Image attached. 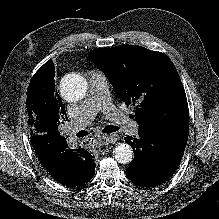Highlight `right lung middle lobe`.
I'll use <instances>...</instances> for the list:
<instances>
[{
  "label": "right lung middle lobe",
  "mask_w": 219,
  "mask_h": 219,
  "mask_svg": "<svg viewBox=\"0 0 219 219\" xmlns=\"http://www.w3.org/2000/svg\"><path fill=\"white\" fill-rule=\"evenodd\" d=\"M27 116L31 134L60 135L59 127L67 120L65 106L51 94H46L40 81L31 79L27 89Z\"/></svg>",
  "instance_id": "right-lung-middle-lobe-1"
}]
</instances>
